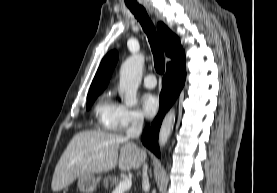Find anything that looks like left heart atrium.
<instances>
[{
  "mask_svg": "<svg viewBox=\"0 0 277 193\" xmlns=\"http://www.w3.org/2000/svg\"><path fill=\"white\" fill-rule=\"evenodd\" d=\"M141 107L146 117L154 116L159 107L157 97L152 93L143 94L141 97Z\"/></svg>",
  "mask_w": 277,
  "mask_h": 193,
  "instance_id": "39dd6f15",
  "label": "left heart atrium"
}]
</instances>
